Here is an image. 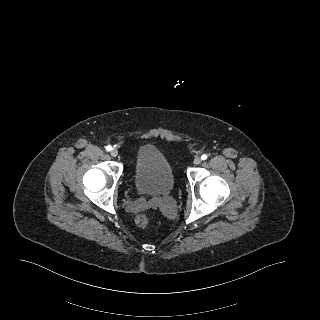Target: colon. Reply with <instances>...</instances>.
<instances>
[{
  "instance_id": "obj_1",
  "label": "colon",
  "mask_w": 320,
  "mask_h": 320,
  "mask_svg": "<svg viewBox=\"0 0 320 320\" xmlns=\"http://www.w3.org/2000/svg\"><path fill=\"white\" fill-rule=\"evenodd\" d=\"M135 221H136V224L142 228L149 227L152 224L151 218L147 215H139L136 217Z\"/></svg>"
}]
</instances>
